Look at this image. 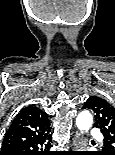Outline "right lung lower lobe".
Listing matches in <instances>:
<instances>
[{
  "mask_svg": "<svg viewBox=\"0 0 115 155\" xmlns=\"http://www.w3.org/2000/svg\"><path fill=\"white\" fill-rule=\"evenodd\" d=\"M51 141V135L44 138L35 139L17 146L0 151V155H50L46 149ZM43 146L46 149L43 150Z\"/></svg>",
  "mask_w": 115,
  "mask_h": 155,
  "instance_id": "98d812e1",
  "label": "right lung lower lobe"
}]
</instances>
